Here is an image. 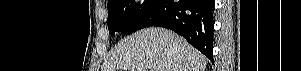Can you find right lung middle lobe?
<instances>
[{"label": "right lung middle lobe", "mask_w": 301, "mask_h": 71, "mask_svg": "<svg viewBox=\"0 0 301 71\" xmlns=\"http://www.w3.org/2000/svg\"><path fill=\"white\" fill-rule=\"evenodd\" d=\"M157 0H109L107 25L109 33L126 35L141 29Z\"/></svg>", "instance_id": "1"}]
</instances>
